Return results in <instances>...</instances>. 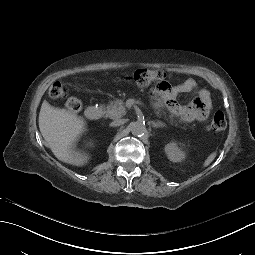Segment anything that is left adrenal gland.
<instances>
[{"instance_id": "1", "label": "left adrenal gland", "mask_w": 255, "mask_h": 255, "mask_svg": "<svg viewBox=\"0 0 255 255\" xmlns=\"http://www.w3.org/2000/svg\"><path fill=\"white\" fill-rule=\"evenodd\" d=\"M150 123L152 124V127H155V128H159V127H164L165 126V124L160 122V121H157V122L150 121Z\"/></svg>"}]
</instances>
